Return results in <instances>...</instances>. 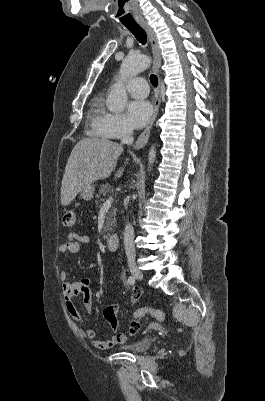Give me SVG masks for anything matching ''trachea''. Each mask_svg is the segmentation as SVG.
Listing matches in <instances>:
<instances>
[{
  "label": "trachea",
  "mask_w": 265,
  "mask_h": 401,
  "mask_svg": "<svg viewBox=\"0 0 265 401\" xmlns=\"http://www.w3.org/2000/svg\"><path fill=\"white\" fill-rule=\"evenodd\" d=\"M126 28H128V30H130V32L133 33L134 37L141 43V44H145L147 41V35L145 33V30H143V28L140 27V25H138L137 22H131V23H125L124 24ZM150 81L152 83V85L154 87L158 86V78L156 75L151 74L150 76Z\"/></svg>",
  "instance_id": "trachea-1"
}]
</instances>
